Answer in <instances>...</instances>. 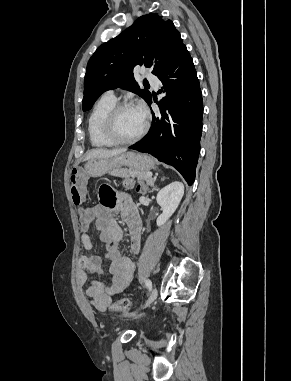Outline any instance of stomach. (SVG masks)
Listing matches in <instances>:
<instances>
[{
  "instance_id": "stomach-1",
  "label": "stomach",
  "mask_w": 291,
  "mask_h": 381,
  "mask_svg": "<svg viewBox=\"0 0 291 381\" xmlns=\"http://www.w3.org/2000/svg\"><path fill=\"white\" fill-rule=\"evenodd\" d=\"M123 166L147 172L154 168V161L145 154L126 152L110 158L91 159L85 164L84 173L91 177H101L111 170Z\"/></svg>"
}]
</instances>
